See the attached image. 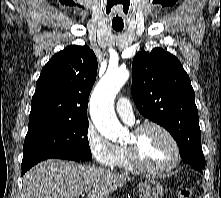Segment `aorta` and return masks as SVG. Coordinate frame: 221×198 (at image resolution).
I'll use <instances>...</instances> for the list:
<instances>
[{"instance_id":"1","label":"aorta","mask_w":221,"mask_h":198,"mask_svg":"<svg viewBox=\"0 0 221 198\" xmlns=\"http://www.w3.org/2000/svg\"><path fill=\"white\" fill-rule=\"evenodd\" d=\"M129 78L126 69H108L96 85L90 99V116L97 130L106 138L116 141L126 134L117 119L114 99Z\"/></svg>"}]
</instances>
